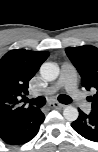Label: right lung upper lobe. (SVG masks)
<instances>
[{"label": "right lung upper lobe", "instance_id": "cb5924a9", "mask_svg": "<svg viewBox=\"0 0 98 152\" xmlns=\"http://www.w3.org/2000/svg\"><path fill=\"white\" fill-rule=\"evenodd\" d=\"M48 56L46 51L17 49L0 59V134L37 109L21 102L28 95L29 80Z\"/></svg>", "mask_w": 98, "mask_h": 152}]
</instances>
